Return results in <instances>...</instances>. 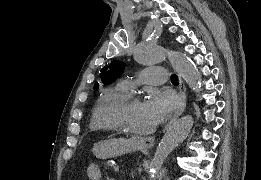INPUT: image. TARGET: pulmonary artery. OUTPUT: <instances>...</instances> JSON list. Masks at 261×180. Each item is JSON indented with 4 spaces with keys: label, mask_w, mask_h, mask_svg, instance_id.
Here are the masks:
<instances>
[{
    "label": "pulmonary artery",
    "mask_w": 261,
    "mask_h": 180,
    "mask_svg": "<svg viewBox=\"0 0 261 180\" xmlns=\"http://www.w3.org/2000/svg\"><path fill=\"white\" fill-rule=\"evenodd\" d=\"M166 71V67H161L160 69H143L135 76V80H132V77L130 79L123 80L120 82V86L127 91L139 82L163 83L164 79L162 77L166 76Z\"/></svg>",
    "instance_id": "pulmonary-artery-1"
}]
</instances>
